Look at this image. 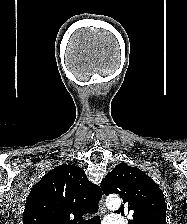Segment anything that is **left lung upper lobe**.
<instances>
[{"label":"left lung upper lobe","mask_w":187,"mask_h":224,"mask_svg":"<svg viewBox=\"0 0 187 224\" xmlns=\"http://www.w3.org/2000/svg\"><path fill=\"white\" fill-rule=\"evenodd\" d=\"M101 188L106 195L121 196L123 204L116 213L130 214L129 224H166L163 192L140 169L121 163L103 178Z\"/></svg>","instance_id":"obj_1"}]
</instances>
